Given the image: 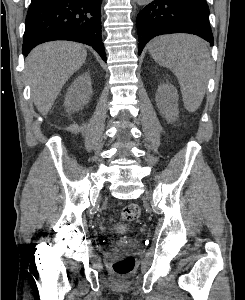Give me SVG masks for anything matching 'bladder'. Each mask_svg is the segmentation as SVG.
<instances>
[{
  "mask_svg": "<svg viewBox=\"0 0 245 300\" xmlns=\"http://www.w3.org/2000/svg\"><path fill=\"white\" fill-rule=\"evenodd\" d=\"M128 227L124 224L118 223L112 226L110 233L114 235H121L128 231Z\"/></svg>",
  "mask_w": 245,
  "mask_h": 300,
  "instance_id": "bladder-1",
  "label": "bladder"
}]
</instances>
